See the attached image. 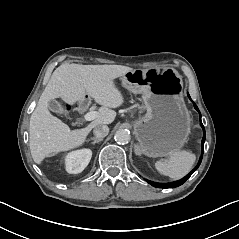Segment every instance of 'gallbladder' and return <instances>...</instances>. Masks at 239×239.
<instances>
[{
  "instance_id": "bac80fb5",
  "label": "gallbladder",
  "mask_w": 239,
  "mask_h": 239,
  "mask_svg": "<svg viewBox=\"0 0 239 239\" xmlns=\"http://www.w3.org/2000/svg\"><path fill=\"white\" fill-rule=\"evenodd\" d=\"M48 109L60 115H68V111L58 101L52 99L48 102ZM68 120L71 118L69 115L66 117Z\"/></svg>"
}]
</instances>
